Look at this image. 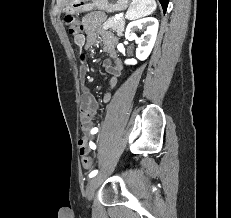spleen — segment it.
I'll return each instance as SVG.
<instances>
[{"label": "spleen", "mask_w": 231, "mask_h": 218, "mask_svg": "<svg viewBox=\"0 0 231 218\" xmlns=\"http://www.w3.org/2000/svg\"><path fill=\"white\" fill-rule=\"evenodd\" d=\"M157 8L155 0H132L131 6L126 12L128 20L137 19L151 14Z\"/></svg>", "instance_id": "1"}]
</instances>
